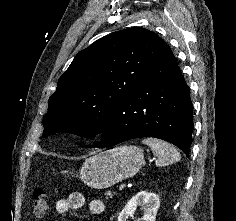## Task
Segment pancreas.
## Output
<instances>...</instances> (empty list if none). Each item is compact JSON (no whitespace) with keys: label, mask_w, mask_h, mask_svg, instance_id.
Masks as SVG:
<instances>
[{"label":"pancreas","mask_w":236,"mask_h":221,"mask_svg":"<svg viewBox=\"0 0 236 221\" xmlns=\"http://www.w3.org/2000/svg\"><path fill=\"white\" fill-rule=\"evenodd\" d=\"M112 197H113V193L111 191H108V192L105 193L106 200H108V199H110Z\"/></svg>","instance_id":"obj_1"}]
</instances>
